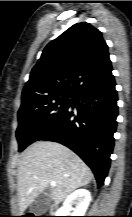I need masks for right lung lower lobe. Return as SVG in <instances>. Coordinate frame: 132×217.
<instances>
[{
    "label": "right lung lower lobe",
    "instance_id": "1",
    "mask_svg": "<svg viewBox=\"0 0 132 217\" xmlns=\"http://www.w3.org/2000/svg\"><path fill=\"white\" fill-rule=\"evenodd\" d=\"M117 100L114 77L83 89L74 94L70 106L39 138L61 143L78 154L92 169L98 187L103 185L110 167Z\"/></svg>",
    "mask_w": 132,
    "mask_h": 217
}]
</instances>
